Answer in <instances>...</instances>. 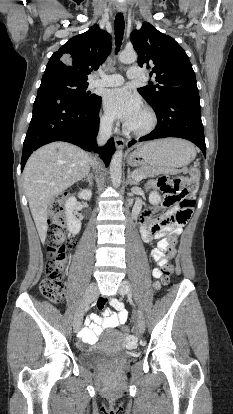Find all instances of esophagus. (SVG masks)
Wrapping results in <instances>:
<instances>
[{"instance_id": "esophagus-1", "label": "esophagus", "mask_w": 233, "mask_h": 414, "mask_svg": "<svg viewBox=\"0 0 233 414\" xmlns=\"http://www.w3.org/2000/svg\"><path fill=\"white\" fill-rule=\"evenodd\" d=\"M126 10H127V8H126V5H125V4H119V5H118V11H119L120 13L125 14V13H126ZM115 146H116V148H118V149H123V148H124V146H125L124 139H122V138H120V137H115Z\"/></svg>"}]
</instances>
